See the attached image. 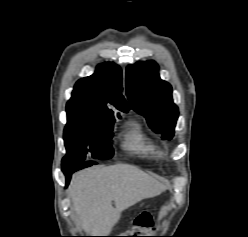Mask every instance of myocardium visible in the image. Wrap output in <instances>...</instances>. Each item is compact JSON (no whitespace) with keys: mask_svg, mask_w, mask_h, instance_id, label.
<instances>
[{"mask_svg":"<svg viewBox=\"0 0 248 237\" xmlns=\"http://www.w3.org/2000/svg\"><path fill=\"white\" fill-rule=\"evenodd\" d=\"M157 153L160 155V156H163L164 155V152L162 150H158Z\"/></svg>","mask_w":248,"mask_h":237,"instance_id":"myocardium-1","label":"myocardium"}]
</instances>
